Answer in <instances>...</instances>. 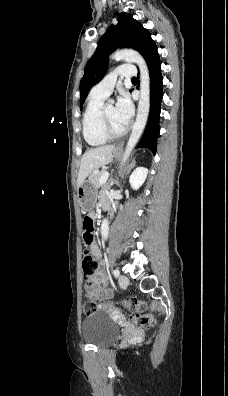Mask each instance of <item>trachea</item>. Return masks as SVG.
Segmentation results:
<instances>
[{
	"instance_id": "obj_1",
	"label": "trachea",
	"mask_w": 228,
	"mask_h": 396,
	"mask_svg": "<svg viewBox=\"0 0 228 396\" xmlns=\"http://www.w3.org/2000/svg\"><path fill=\"white\" fill-rule=\"evenodd\" d=\"M132 81H137V78H136V77H133V78H132Z\"/></svg>"
}]
</instances>
